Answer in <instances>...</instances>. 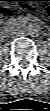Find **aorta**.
Wrapping results in <instances>:
<instances>
[{
    "instance_id": "762f6f07",
    "label": "aorta",
    "mask_w": 50,
    "mask_h": 111,
    "mask_svg": "<svg viewBox=\"0 0 50 111\" xmlns=\"http://www.w3.org/2000/svg\"><path fill=\"white\" fill-rule=\"evenodd\" d=\"M27 33L30 36H38L40 33V27L38 25H30L27 28Z\"/></svg>"
}]
</instances>
